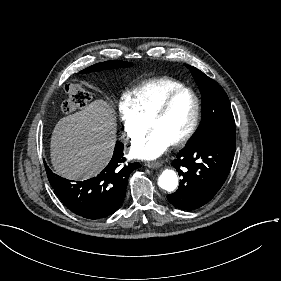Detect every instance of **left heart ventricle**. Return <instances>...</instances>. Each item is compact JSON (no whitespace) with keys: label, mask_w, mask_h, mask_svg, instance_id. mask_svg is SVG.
<instances>
[{"label":"left heart ventricle","mask_w":281,"mask_h":281,"mask_svg":"<svg viewBox=\"0 0 281 281\" xmlns=\"http://www.w3.org/2000/svg\"><path fill=\"white\" fill-rule=\"evenodd\" d=\"M193 113V98L188 94L181 95L172 102L165 114L153 123L148 131L158 132L172 143L186 132Z\"/></svg>","instance_id":"left-heart-ventricle-1"}]
</instances>
